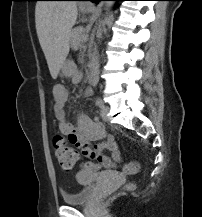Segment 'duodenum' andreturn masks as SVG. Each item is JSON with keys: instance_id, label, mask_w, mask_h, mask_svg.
<instances>
[{"instance_id": "410a0bca", "label": "duodenum", "mask_w": 202, "mask_h": 217, "mask_svg": "<svg viewBox=\"0 0 202 217\" xmlns=\"http://www.w3.org/2000/svg\"><path fill=\"white\" fill-rule=\"evenodd\" d=\"M89 81L93 85L96 84L98 81V73H97V68H96L95 64H92V66H91Z\"/></svg>"}]
</instances>
